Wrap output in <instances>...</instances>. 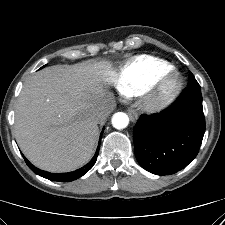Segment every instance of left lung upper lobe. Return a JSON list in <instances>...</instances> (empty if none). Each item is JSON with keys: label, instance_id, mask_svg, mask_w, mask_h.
I'll use <instances>...</instances> for the list:
<instances>
[{"label": "left lung upper lobe", "instance_id": "5c2ea615", "mask_svg": "<svg viewBox=\"0 0 225 225\" xmlns=\"http://www.w3.org/2000/svg\"><path fill=\"white\" fill-rule=\"evenodd\" d=\"M188 86L200 88V85L198 84V82L196 81L192 73H190V76H189Z\"/></svg>", "mask_w": 225, "mask_h": 225}]
</instances>
